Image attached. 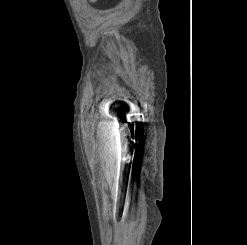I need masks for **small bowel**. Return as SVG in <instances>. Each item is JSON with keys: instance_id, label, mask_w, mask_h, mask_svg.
Listing matches in <instances>:
<instances>
[{"instance_id": "1", "label": "small bowel", "mask_w": 247, "mask_h": 245, "mask_svg": "<svg viewBox=\"0 0 247 245\" xmlns=\"http://www.w3.org/2000/svg\"><path fill=\"white\" fill-rule=\"evenodd\" d=\"M90 2H96V1H98V0H89Z\"/></svg>"}]
</instances>
